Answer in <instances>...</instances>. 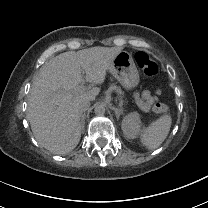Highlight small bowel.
Instances as JSON below:
<instances>
[{"label": "small bowel", "mask_w": 208, "mask_h": 208, "mask_svg": "<svg viewBox=\"0 0 208 208\" xmlns=\"http://www.w3.org/2000/svg\"><path fill=\"white\" fill-rule=\"evenodd\" d=\"M160 95V89H157L154 93L150 92L148 89H145L141 94L137 95L140 107L144 111H148L151 106L157 101L158 96Z\"/></svg>", "instance_id": "obj_1"}]
</instances>
